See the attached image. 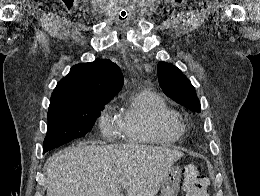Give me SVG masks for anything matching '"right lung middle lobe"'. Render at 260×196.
<instances>
[{"mask_svg":"<svg viewBox=\"0 0 260 196\" xmlns=\"http://www.w3.org/2000/svg\"><path fill=\"white\" fill-rule=\"evenodd\" d=\"M108 101L49 106L48 130L43 150L50 151L91 131Z\"/></svg>","mask_w":260,"mask_h":196,"instance_id":"right-lung-middle-lobe-1","label":"right lung middle lobe"}]
</instances>
